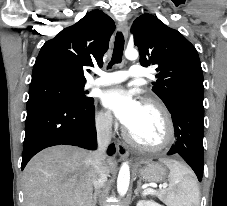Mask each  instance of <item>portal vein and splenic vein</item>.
<instances>
[{"instance_id": "obj_1", "label": "portal vein and splenic vein", "mask_w": 227, "mask_h": 206, "mask_svg": "<svg viewBox=\"0 0 227 206\" xmlns=\"http://www.w3.org/2000/svg\"><path fill=\"white\" fill-rule=\"evenodd\" d=\"M168 185L167 184H163L162 187L166 188ZM156 190L152 189V188H147L144 190L143 194L144 195H148V194H155Z\"/></svg>"}]
</instances>
